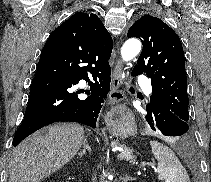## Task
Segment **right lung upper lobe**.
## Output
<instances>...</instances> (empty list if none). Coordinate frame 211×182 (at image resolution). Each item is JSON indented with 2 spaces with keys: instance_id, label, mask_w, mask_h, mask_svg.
Instances as JSON below:
<instances>
[{
  "instance_id": "obj_1",
  "label": "right lung upper lobe",
  "mask_w": 211,
  "mask_h": 182,
  "mask_svg": "<svg viewBox=\"0 0 211 182\" xmlns=\"http://www.w3.org/2000/svg\"><path fill=\"white\" fill-rule=\"evenodd\" d=\"M63 25L69 27L71 35L83 48H95L103 57H110L112 38L96 14L77 12L60 26Z\"/></svg>"
}]
</instances>
